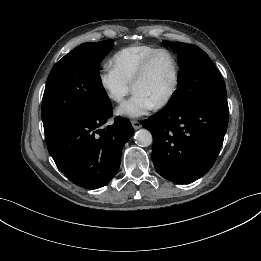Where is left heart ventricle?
Masks as SVG:
<instances>
[{
  "instance_id": "obj_1",
  "label": "left heart ventricle",
  "mask_w": 261,
  "mask_h": 261,
  "mask_svg": "<svg viewBox=\"0 0 261 261\" xmlns=\"http://www.w3.org/2000/svg\"><path fill=\"white\" fill-rule=\"evenodd\" d=\"M173 76L172 59L169 55L161 53L154 58L146 77L134 86L133 91L144 94L156 105L170 90Z\"/></svg>"
}]
</instances>
